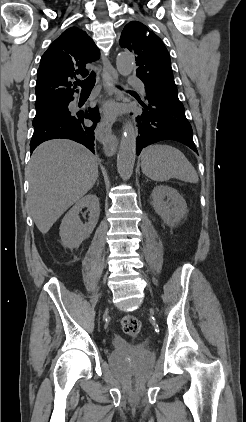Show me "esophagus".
Instances as JSON below:
<instances>
[{
    "mask_svg": "<svg viewBox=\"0 0 246 422\" xmlns=\"http://www.w3.org/2000/svg\"><path fill=\"white\" fill-rule=\"evenodd\" d=\"M102 62L106 93L108 96L118 95V90L113 86V83L118 79L117 72L107 57L103 56ZM115 121V116L104 115L97 127L98 140L104 145L106 153H113L118 145V140L112 131Z\"/></svg>",
    "mask_w": 246,
    "mask_h": 422,
    "instance_id": "34e87169",
    "label": "esophagus"
}]
</instances>
